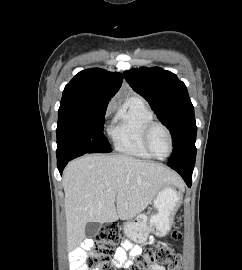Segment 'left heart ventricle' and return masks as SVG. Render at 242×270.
<instances>
[{
  "instance_id": "1",
  "label": "left heart ventricle",
  "mask_w": 242,
  "mask_h": 270,
  "mask_svg": "<svg viewBox=\"0 0 242 270\" xmlns=\"http://www.w3.org/2000/svg\"><path fill=\"white\" fill-rule=\"evenodd\" d=\"M150 146L159 157H164L168 154L170 148L169 138L163 128L157 126L152 130Z\"/></svg>"
}]
</instances>
